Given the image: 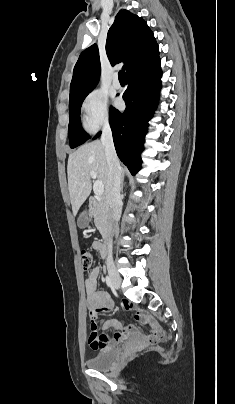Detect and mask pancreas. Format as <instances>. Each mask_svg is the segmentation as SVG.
<instances>
[{"mask_svg": "<svg viewBox=\"0 0 235 404\" xmlns=\"http://www.w3.org/2000/svg\"><path fill=\"white\" fill-rule=\"evenodd\" d=\"M94 223L102 235L106 233L108 209L106 204L101 202L93 210Z\"/></svg>", "mask_w": 235, "mask_h": 404, "instance_id": "pancreas-1", "label": "pancreas"}]
</instances>
